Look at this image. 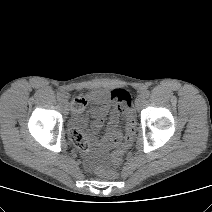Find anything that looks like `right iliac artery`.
I'll list each match as a JSON object with an SVG mask.
<instances>
[{
	"label": "right iliac artery",
	"instance_id": "right-iliac-artery-1",
	"mask_svg": "<svg viewBox=\"0 0 212 212\" xmlns=\"http://www.w3.org/2000/svg\"><path fill=\"white\" fill-rule=\"evenodd\" d=\"M64 95L61 92L57 93V98L59 101H61L63 99Z\"/></svg>",
	"mask_w": 212,
	"mask_h": 212
}]
</instances>
